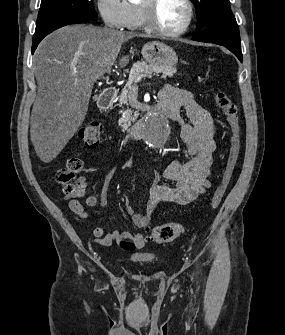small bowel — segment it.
I'll return each mask as SVG.
<instances>
[{
	"label": "small bowel",
	"mask_w": 285,
	"mask_h": 335,
	"mask_svg": "<svg viewBox=\"0 0 285 335\" xmlns=\"http://www.w3.org/2000/svg\"><path fill=\"white\" fill-rule=\"evenodd\" d=\"M159 99L169 101L176 109L173 121L187 150L183 160H174L161 172L152 173L144 213H137L130 205L129 198L125 197L126 211L139 228H146L150 224L154 211L161 203L186 205L204 193L210 187L209 177L214 164L217 129L210 112L202 108L190 92L171 85L162 88ZM182 110L188 121L181 118ZM114 174L115 168L110 167L99 197L89 196L84 201L73 198L69 203L70 209L80 218L86 219L88 217L86 207L104 206L108 200L109 184ZM160 177L168 179L171 183L160 184ZM93 236L95 242L101 246H109L113 241H119L123 237L132 239L137 248L145 245V238L141 233L131 235L119 230L107 232L98 225L93 227Z\"/></svg>",
	"instance_id": "obj_1"
}]
</instances>
